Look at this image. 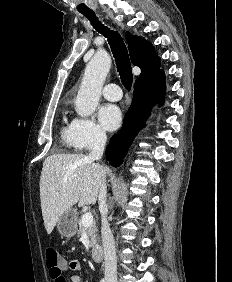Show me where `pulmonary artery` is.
Instances as JSON below:
<instances>
[{
	"label": "pulmonary artery",
	"instance_id": "obj_1",
	"mask_svg": "<svg viewBox=\"0 0 232 282\" xmlns=\"http://www.w3.org/2000/svg\"><path fill=\"white\" fill-rule=\"evenodd\" d=\"M102 95L110 101H118L122 97V91L117 84H106L102 89Z\"/></svg>",
	"mask_w": 232,
	"mask_h": 282
}]
</instances>
